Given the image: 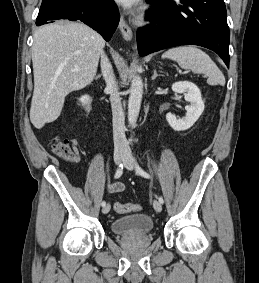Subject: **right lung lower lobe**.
<instances>
[{
    "mask_svg": "<svg viewBox=\"0 0 259 283\" xmlns=\"http://www.w3.org/2000/svg\"><path fill=\"white\" fill-rule=\"evenodd\" d=\"M59 19L81 20L109 41L120 15L112 0H43L36 25Z\"/></svg>",
    "mask_w": 259,
    "mask_h": 283,
    "instance_id": "98d812e1",
    "label": "right lung lower lobe"
}]
</instances>
